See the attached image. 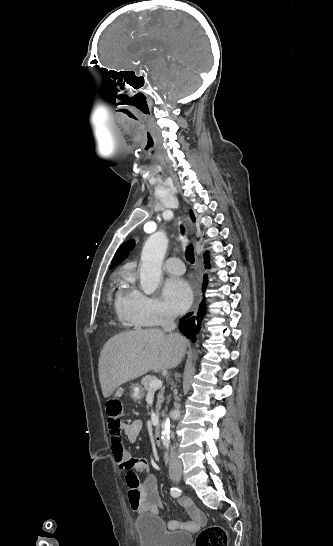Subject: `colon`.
Instances as JSON below:
<instances>
[{
	"mask_svg": "<svg viewBox=\"0 0 333 546\" xmlns=\"http://www.w3.org/2000/svg\"><path fill=\"white\" fill-rule=\"evenodd\" d=\"M124 400L122 396H111L104 407L109 422H118L122 414ZM226 531L220 526H209L203 529L196 538V546H227Z\"/></svg>",
	"mask_w": 333,
	"mask_h": 546,
	"instance_id": "colon-1",
	"label": "colon"
}]
</instances>
